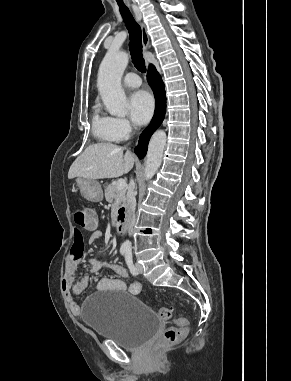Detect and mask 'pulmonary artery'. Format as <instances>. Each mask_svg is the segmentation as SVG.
Instances as JSON below:
<instances>
[{"mask_svg":"<svg viewBox=\"0 0 291 381\" xmlns=\"http://www.w3.org/2000/svg\"><path fill=\"white\" fill-rule=\"evenodd\" d=\"M123 83L128 88H137L141 85V79L136 73H128L124 76Z\"/></svg>","mask_w":291,"mask_h":381,"instance_id":"obj_1","label":"pulmonary artery"}]
</instances>
